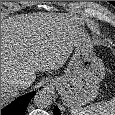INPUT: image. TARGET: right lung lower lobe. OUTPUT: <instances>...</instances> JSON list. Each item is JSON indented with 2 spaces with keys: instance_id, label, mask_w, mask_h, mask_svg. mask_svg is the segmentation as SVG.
<instances>
[{
  "instance_id": "right-lung-lower-lobe-1",
  "label": "right lung lower lobe",
  "mask_w": 115,
  "mask_h": 115,
  "mask_svg": "<svg viewBox=\"0 0 115 115\" xmlns=\"http://www.w3.org/2000/svg\"><path fill=\"white\" fill-rule=\"evenodd\" d=\"M35 92L23 95L1 110V115H24L27 104Z\"/></svg>"
}]
</instances>
